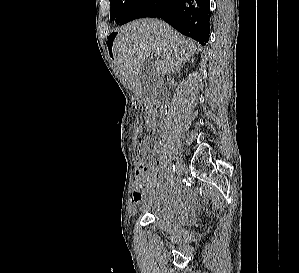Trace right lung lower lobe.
Wrapping results in <instances>:
<instances>
[{
  "label": "right lung lower lobe",
  "instance_id": "98d812e1",
  "mask_svg": "<svg viewBox=\"0 0 299 273\" xmlns=\"http://www.w3.org/2000/svg\"><path fill=\"white\" fill-rule=\"evenodd\" d=\"M210 0H135L120 25L143 17H157L201 45L209 39Z\"/></svg>",
  "mask_w": 299,
  "mask_h": 273
}]
</instances>
